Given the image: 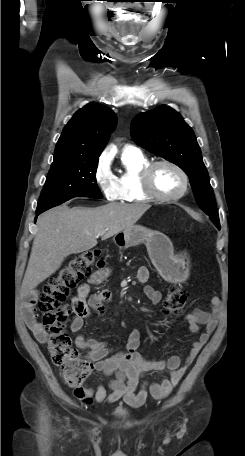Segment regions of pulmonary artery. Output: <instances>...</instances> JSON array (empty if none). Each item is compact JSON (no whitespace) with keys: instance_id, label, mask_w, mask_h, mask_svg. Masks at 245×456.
<instances>
[{"instance_id":"obj_1","label":"pulmonary artery","mask_w":245,"mask_h":456,"mask_svg":"<svg viewBox=\"0 0 245 456\" xmlns=\"http://www.w3.org/2000/svg\"><path fill=\"white\" fill-rule=\"evenodd\" d=\"M124 151H139V149L132 145H125Z\"/></svg>"}]
</instances>
